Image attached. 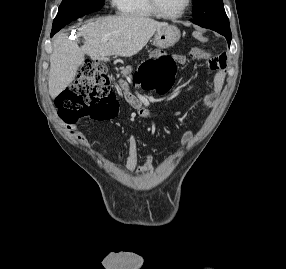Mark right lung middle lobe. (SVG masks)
I'll return each instance as SVG.
<instances>
[{
    "label": "right lung middle lobe",
    "instance_id": "right-lung-middle-lobe-1",
    "mask_svg": "<svg viewBox=\"0 0 286 269\" xmlns=\"http://www.w3.org/2000/svg\"><path fill=\"white\" fill-rule=\"evenodd\" d=\"M105 0H63L52 30H60L71 21L101 9Z\"/></svg>",
    "mask_w": 286,
    "mask_h": 269
}]
</instances>
